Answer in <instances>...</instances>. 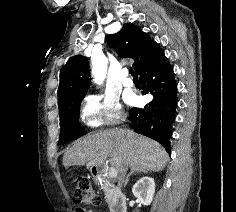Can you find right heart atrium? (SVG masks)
<instances>
[{
	"mask_svg": "<svg viewBox=\"0 0 236 212\" xmlns=\"http://www.w3.org/2000/svg\"><path fill=\"white\" fill-rule=\"evenodd\" d=\"M80 117L89 127L115 125L125 115L119 100L112 95L94 94L87 96L81 105Z\"/></svg>",
	"mask_w": 236,
	"mask_h": 212,
	"instance_id": "right-heart-atrium-1",
	"label": "right heart atrium"
}]
</instances>
